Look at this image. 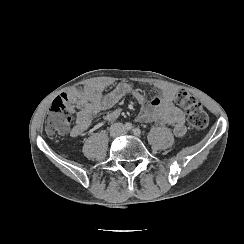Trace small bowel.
I'll return each mask as SVG.
<instances>
[{
  "mask_svg": "<svg viewBox=\"0 0 244 244\" xmlns=\"http://www.w3.org/2000/svg\"><path fill=\"white\" fill-rule=\"evenodd\" d=\"M109 81H95L86 84L84 92L71 90L67 95L75 106L76 119L71 130L72 136L84 133L93 120L113 107L125 97H133L140 104L137 120L143 123H154L158 126H172L176 138H182L187 133L185 113L174 104L177 90L171 86L162 85L158 89L145 92L138 90L126 82L118 83L111 91H103L110 86ZM121 111L114 109L107 112L104 121L113 122L120 117Z\"/></svg>",
  "mask_w": 244,
  "mask_h": 244,
  "instance_id": "obj_1",
  "label": "small bowel"
}]
</instances>
